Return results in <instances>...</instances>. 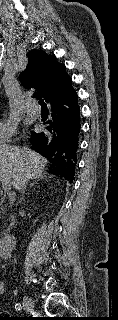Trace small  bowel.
<instances>
[{
	"label": "small bowel",
	"mask_w": 118,
	"mask_h": 320,
	"mask_svg": "<svg viewBox=\"0 0 118 320\" xmlns=\"http://www.w3.org/2000/svg\"><path fill=\"white\" fill-rule=\"evenodd\" d=\"M4 292V283L3 281L0 279V295Z\"/></svg>",
	"instance_id": "c3829d8e"
}]
</instances>
